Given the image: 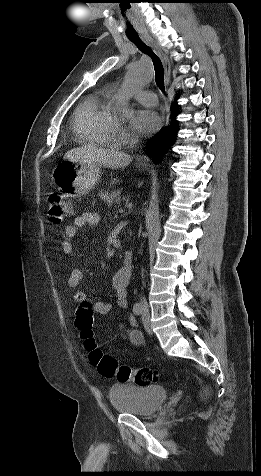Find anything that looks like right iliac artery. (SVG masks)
<instances>
[{
  "mask_svg": "<svg viewBox=\"0 0 261 476\" xmlns=\"http://www.w3.org/2000/svg\"><path fill=\"white\" fill-rule=\"evenodd\" d=\"M133 312L135 315L140 316L143 313V306L141 304L134 305Z\"/></svg>",
  "mask_w": 261,
  "mask_h": 476,
  "instance_id": "right-iliac-artery-1",
  "label": "right iliac artery"
}]
</instances>
